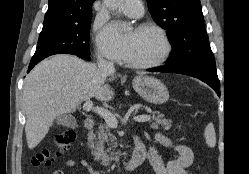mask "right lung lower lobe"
Masks as SVG:
<instances>
[{
	"label": "right lung lower lobe",
	"mask_w": 249,
	"mask_h": 174,
	"mask_svg": "<svg viewBox=\"0 0 249 174\" xmlns=\"http://www.w3.org/2000/svg\"><path fill=\"white\" fill-rule=\"evenodd\" d=\"M74 55H77L78 57L82 58V59H85L87 61H90V57L89 55L90 54H74ZM40 61H35V62H30V65L28 67V72Z\"/></svg>",
	"instance_id": "obj_1"
}]
</instances>
